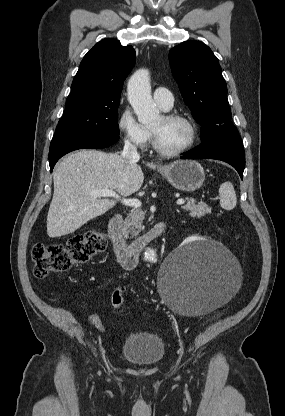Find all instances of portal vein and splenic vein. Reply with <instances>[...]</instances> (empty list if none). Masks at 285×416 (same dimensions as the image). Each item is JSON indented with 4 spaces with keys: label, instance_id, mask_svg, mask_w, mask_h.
<instances>
[{
    "label": "portal vein and splenic vein",
    "instance_id": "obj_1",
    "mask_svg": "<svg viewBox=\"0 0 285 416\" xmlns=\"http://www.w3.org/2000/svg\"><path fill=\"white\" fill-rule=\"evenodd\" d=\"M90 196H94V198H99V196H103V198H118L120 200V196L114 192V190H89ZM121 204L124 206H132V208H140L141 202L140 200H125L122 198L120 200ZM176 204L181 206V204H185V200H177Z\"/></svg>",
    "mask_w": 285,
    "mask_h": 416
}]
</instances>
